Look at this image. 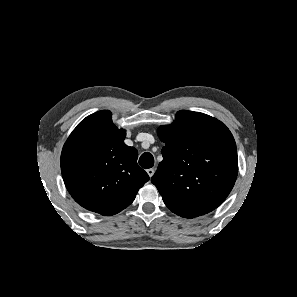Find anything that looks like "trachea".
Masks as SVG:
<instances>
[{
    "label": "trachea",
    "mask_w": 297,
    "mask_h": 297,
    "mask_svg": "<svg viewBox=\"0 0 297 297\" xmlns=\"http://www.w3.org/2000/svg\"><path fill=\"white\" fill-rule=\"evenodd\" d=\"M139 164L144 169H149L154 165V157L151 153L145 152L139 158Z\"/></svg>",
    "instance_id": "3493384b"
}]
</instances>
